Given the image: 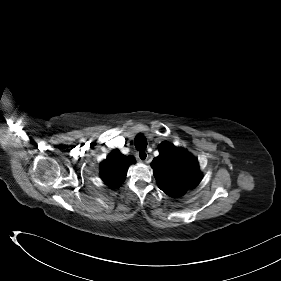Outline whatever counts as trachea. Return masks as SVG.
Instances as JSON below:
<instances>
[{"label":"trachea","instance_id":"3493384b","mask_svg":"<svg viewBox=\"0 0 281 281\" xmlns=\"http://www.w3.org/2000/svg\"><path fill=\"white\" fill-rule=\"evenodd\" d=\"M134 144L138 150H144L147 147V140L143 134H138L135 137Z\"/></svg>","mask_w":281,"mask_h":281}]
</instances>
